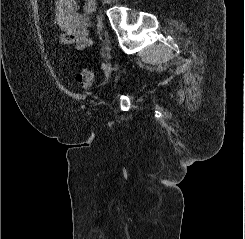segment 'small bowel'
<instances>
[{
  "mask_svg": "<svg viewBox=\"0 0 245 239\" xmlns=\"http://www.w3.org/2000/svg\"><path fill=\"white\" fill-rule=\"evenodd\" d=\"M80 1L83 3L80 10ZM96 9V0H56L55 23L63 32L61 41L84 49L90 44L89 15Z\"/></svg>",
  "mask_w": 245,
  "mask_h": 239,
  "instance_id": "small-bowel-1",
  "label": "small bowel"
}]
</instances>
